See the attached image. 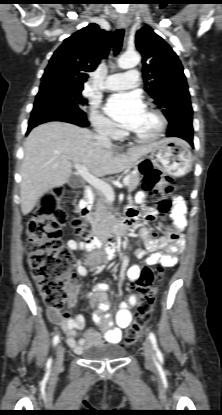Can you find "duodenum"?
Returning <instances> with one entry per match:
<instances>
[{"mask_svg":"<svg viewBox=\"0 0 222 415\" xmlns=\"http://www.w3.org/2000/svg\"><path fill=\"white\" fill-rule=\"evenodd\" d=\"M92 199L93 193L91 188L85 187L84 197L78 206L82 216H88L90 214ZM132 222L133 221L130 218H124L119 221H112L106 226L95 225V237L91 240L88 248L93 250L100 244H104L106 250L109 253V257H112L117 251L118 241L128 236Z\"/></svg>","mask_w":222,"mask_h":415,"instance_id":"1","label":"duodenum"}]
</instances>
